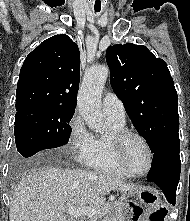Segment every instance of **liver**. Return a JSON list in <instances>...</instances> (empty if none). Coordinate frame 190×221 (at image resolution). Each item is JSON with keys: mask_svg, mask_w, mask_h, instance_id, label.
<instances>
[{"mask_svg": "<svg viewBox=\"0 0 190 221\" xmlns=\"http://www.w3.org/2000/svg\"><path fill=\"white\" fill-rule=\"evenodd\" d=\"M140 187L115 176L52 166L28 171L15 186L10 221H69L68 208L105 203L110 191L134 192ZM79 221V220H78Z\"/></svg>", "mask_w": 190, "mask_h": 221, "instance_id": "liver-1", "label": "liver"}]
</instances>
